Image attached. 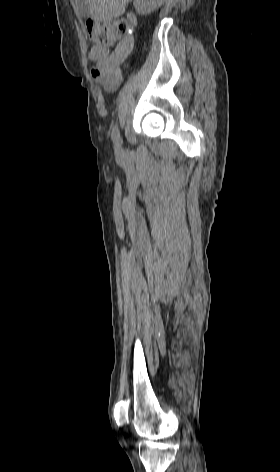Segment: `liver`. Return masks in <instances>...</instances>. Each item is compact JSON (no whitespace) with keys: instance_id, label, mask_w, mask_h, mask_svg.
Masks as SVG:
<instances>
[{"instance_id":"liver-1","label":"liver","mask_w":280,"mask_h":472,"mask_svg":"<svg viewBox=\"0 0 280 472\" xmlns=\"http://www.w3.org/2000/svg\"><path fill=\"white\" fill-rule=\"evenodd\" d=\"M130 0H86L88 12L95 21L110 22L125 12Z\"/></svg>"}]
</instances>
